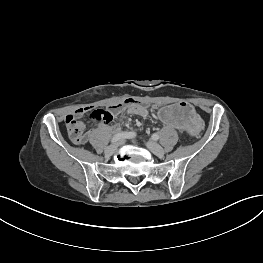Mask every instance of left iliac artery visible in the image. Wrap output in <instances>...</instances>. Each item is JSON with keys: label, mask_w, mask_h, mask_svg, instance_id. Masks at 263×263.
<instances>
[{"label": "left iliac artery", "mask_w": 263, "mask_h": 263, "mask_svg": "<svg viewBox=\"0 0 263 263\" xmlns=\"http://www.w3.org/2000/svg\"><path fill=\"white\" fill-rule=\"evenodd\" d=\"M152 139L155 140V141H157V140L159 139V135H158L157 133H154V134L152 135Z\"/></svg>", "instance_id": "left-iliac-artery-1"}]
</instances>
